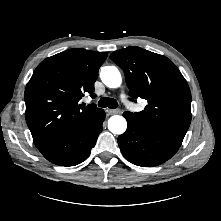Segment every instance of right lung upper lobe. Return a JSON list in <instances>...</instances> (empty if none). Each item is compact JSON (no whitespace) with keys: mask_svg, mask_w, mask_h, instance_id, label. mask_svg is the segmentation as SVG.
I'll return each instance as SVG.
<instances>
[{"mask_svg":"<svg viewBox=\"0 0 221 221\" xmlns=\"http://www.w3.org/2000/svg\"><path fill=\"white\" fill-rule=\"evenodd\" d=\"M105 52L69 49L43 60L25 89L26 122L37 148L62 140L102 109L80 104L92 97Z\"/></svg>","mask_w":221,"mask_h":221,"instance_id":"1","label":"right lung upper lobe"}]
</instances>
